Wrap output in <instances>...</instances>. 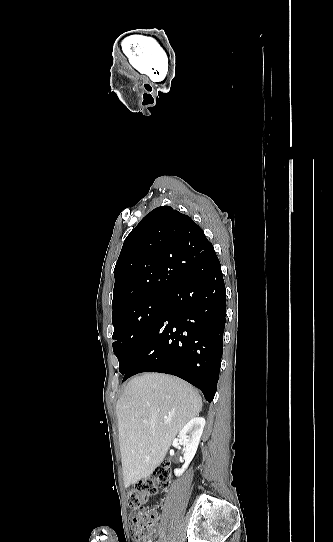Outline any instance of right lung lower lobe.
I'll return each mask as SVG.
<instances>
[{"label":"right lung lower lobe","instance_id":"98d812e1","mask_svg":"<svg viewBox=\"0 0 333 542\" xmlns=\"http://www.w3.org/2000/svg\"><path fill=\"white\" fill-rule=\"evenodd\" d=\"M184 279L168 292L155 321L125 372L176 375L199 388L211 402L217 389L226 322V290L212 244L168 254Z\"/></svg>","mask_w":333,"mask_h":542}]
</instances>
